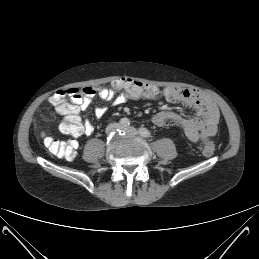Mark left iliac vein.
Masks as SVG:
<instances>
[{"instance_id":"1","label":"left iliac vein","mask_w":259,"mask_h":259,"mask_svg":"<svg viewBox=\"0 0 259 259\" xmlns=\"http://www.w3.org/2000/svg\"><path fill=\"white\" fill-rule=\"evenodd\" d=\"M123 131H125L129 135H138L139 132L134 127H121Z\"/></svg>"}]
</instances>
